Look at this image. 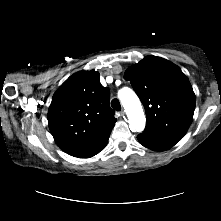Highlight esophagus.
Listing matches in <instances>:
<instances>
[{
  "mask_svg": "<svg viewBox=\"0 0 221 221\" xmlns=\"http://www.w3.org/2000/svg\"><path fill=\"white\" fill-rule=\"evenodd\" d=\"M120 115H121V116H124V115H125V111L122 110V111L120 112Z\"/></svg>",
  "mask_w": 221,
  "mask_h": 221,
  "instance_id": "1",
  "label": "esophagus"
}]
</instances>
